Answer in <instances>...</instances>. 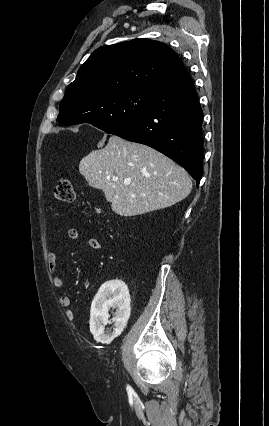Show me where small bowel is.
I'll list each match as a JSON object with an SVG mask.
<instances>
[{
	"instance_id": "small-bowel-1",
	"label": "small bowel",
	"mask_w": 269,
	"mask_h": 426,
	"mask_svg": "<svg viewBox=\"0 0 269 426\" xmlns=\"http://www.w3.org/2000/svg\"><path fill=\"white\" fill-rule=\"evenodd\" d=\"M67 235L69 240L73 242L79 238V233L75 228L68 229ZM88 246L93 250L101 249V243L96 238H89ZM48 267L52 274L54 285L59 289L63 288L64 282L62 276L57 272V255L53 252L48 254ZM59 302L60 305L64 308H68L71 306V298L68 295L60 296Z\"/></svg>"
}]
</instances>
